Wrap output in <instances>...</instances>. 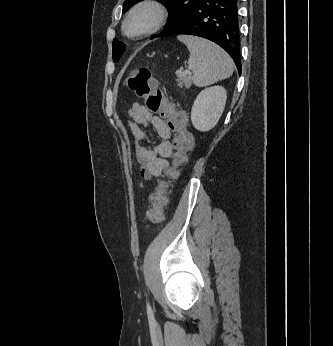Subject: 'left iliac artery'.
<instances>
[{
	"instance_id": "1",
	"label": "left iliac artery",
	"mask_w": 333,
	"mask_h": 346,
	"mask_svg": "<svg viewBox=\"0 0 333 346\" xmlns=\"http://www.w3.org/2000/svg\"><path fill=\"white\" fill-rule=\"evenodd\" d=\"M147 314H148V318L153 320L154 319V315H153V311L151 309V306L149 303H147Z\"/></svg>"
}]
</instances>
